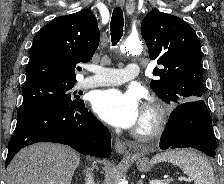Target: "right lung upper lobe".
<instances>
[{"label": "right lung upper lobe", "instance_id": "right-lung-upper-lobe-1", "mask_svg": "<svg viewBox=\"0 0 224 184\" xmlns=\"http://www.w3.org/2000/svg\"><path fill=\"white\" fill-rule=\"evenodd\" d=\"M99 40L97 20L90 10L55 18L33 39L25 84L76 83V64L91 60Z\"/></svg>", "mask_w": 224, "mask_h": 184}]
</instances>
